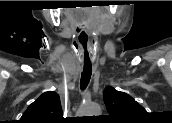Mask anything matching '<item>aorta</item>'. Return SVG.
Listing matches in <instances>:
<instances>
[{
    "instance_id": "obj_1",
    "label": "aorta",
    "mask_w": 172,
    "mask_h": 123,
    "mask_svg": "<svg viewBox=\"0 0 172 123\" xmlns=\"http://www.w3.org/2000/svg\"><path fill=\"white\" fill-rule=\"evenodd\" d=\"M83 112L86 116H97L101 113V108L96 103H84Z\"/></svg>"
}]
</instances>
